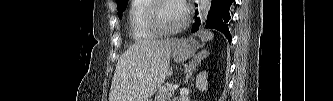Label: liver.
I'll list each match as a JSON object with an SVG mask.
<instances>
[{
  "label": "liver",
  "mask_w": 333,
  "mask_h": 101,
  "mask_svg": "<svg viewBox=\"0 0 333 101\" xmlns=\"http://www.w3.org/2000/svg\"><path fill=\"white\" fill-rule=\"evenodd\" d=\"M172 42L143 40L129 47L118 60L109 101H148L168 75Z\"/></svg>",
  "instance_id": "obj_1"
}]
</instances>
